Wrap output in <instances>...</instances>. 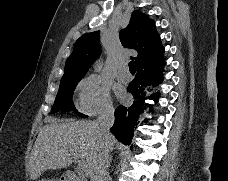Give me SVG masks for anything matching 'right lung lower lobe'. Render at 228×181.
<instances>
[{
    "instance_id": "obj_1",
    "label": "right lung lower lobe",
    "mask_w": 228,
    "mask_h": 181,
    "mask_svg": "<svg viewBox=\"0 0 228 181\" xmlns=\"http://www.w3.org/2000/svg\"><path fill=\"white\" fill-rule=\"evenodd\" d=\"M163 54L162 46L149 58L136 65L137 75L127 88L135 100L130 107L118 106L115 110V122L110 131L125 145H130L134 127L146 109L145 99H156L158 96L151 88L162 82L160 73L165 65Z\"/></svg>"
}]
</instances>
